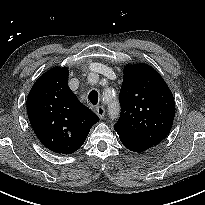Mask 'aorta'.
<instances>
[{
  "label": "aorta",
  "instance_id": "aorta-1",
  "mask_svg": "<svg viewBox=\"0 0 205 205\" xmlns=\"http://www.w3.org/2000/svg\"><path fill=\"white\" fill-rule=\"evenodd\" d=\"M107 95L112 97V101L110 102L108 106V114L111 119L117 118L119 115V105L118 101L116 99V96L112 94L111 92H108Z\"/></svg>",
  "mask_w": 205,
  "mask_h": 205
}]
</instances>
